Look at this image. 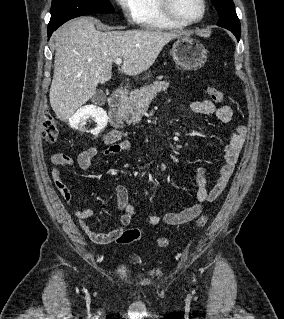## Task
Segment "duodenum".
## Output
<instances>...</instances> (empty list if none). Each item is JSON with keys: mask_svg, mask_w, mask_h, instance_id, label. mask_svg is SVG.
<instances>
[{"mask_svg": "<svg viewBox=\"0 0 284 319\" xmlns=\"http://www.w3.org/2000/svg\"><path fill=\"white\" fill-rule=\"evenodd\" d=\"M127 99V94L125 91L121 89H116L111 92L109 97V104H110V123L113 127L120 129L124 125V120L122 118L120 107L125 103Z\"/></svg>", "mask_w": 284, "mask_h": 319, "instance_id": "410a0bca", "label": "duodenum"}]
</instances>
